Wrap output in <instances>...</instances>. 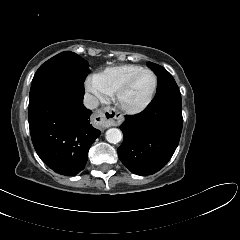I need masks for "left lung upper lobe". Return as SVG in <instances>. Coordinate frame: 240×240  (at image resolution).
I'll return each instance as SVG.
<instances>
[{
	"label": "left lung upper lobe",
	"mask_w": 240,
	"mask_h": 240,
	"mask_svg": "<svg viewBox=\"0 0 240 240\" xmlns=\"http://www.w3.org/2000/svg\"><path fill=\"white\" fill-rule=\"evenodd\" d=\"M148 65L158 78L157 92L153 101L166 98L181 99L180 91L172 75L160 65L152 62H148Z\"/></svg>",
	"instance_id": "obj_1"
}]
</instances>
